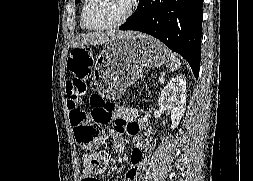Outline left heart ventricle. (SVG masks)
<instances>
[{"label": "left heart ventricle", "mask_w": 253, "mask_h": 181, "mask_svg": "<svg viewBox=\"0 0 253 181\" xmlns=\"http://www.w3.org/2000/svg\"><path fill=\"white\" fill-rule=\"evenodd\" d=\"M129 0H92L87 11L88 22L103 26L121 19L128 10Z\"/></svg>", "instance_id": "1"}]
</instances>
